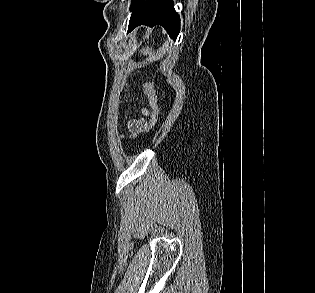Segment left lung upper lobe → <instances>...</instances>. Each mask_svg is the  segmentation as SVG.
<instances>
[{
  "label": "left lung upper lobe",
  "mask_w": 315,
  "mask_h": 293,
  "mask_svg": "<svg viewBox=\"0 0 315 293\" xmlns=\"http://www.w3.org/2000/svg\"><path fill=\"white\" fill-rule=\"evenodd\" d=\"M140 0H133V3L131 5V9H133L138 3H139Z\"/></svg>",
  "instance_id": "1"
}]
</instances>
